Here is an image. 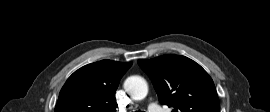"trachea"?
<instances>
[{"instance_id":"1","label":"trachea","mask_w":270,"mask_h":112,"mask_svg":"<svg viewBox=\"0 0 270 112\" xmlns=\"http://www.w3.org/2000/svg\"><path fill=\"white\" fill-rule=\"evenodd\" d=\"M135 112H144V111H140V110H138V111H135Z\"/></svg>"}]
</instances>
